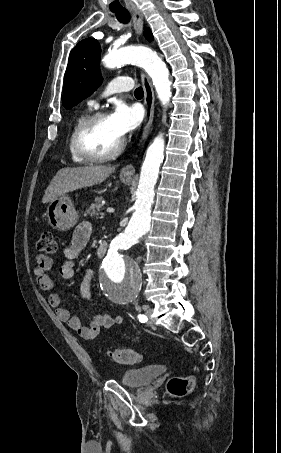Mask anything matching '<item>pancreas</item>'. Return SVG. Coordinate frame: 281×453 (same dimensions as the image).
I'll list each match as a JSON object with an SVG mask.
<instances>
[{"label": "pancreas", "mask_w": 281, "mask_h": 453, "mask_svg": "<svg viewBox=\"0 0 281 453\" xmlns=\"http://www.w3.org/2000/svg\"><path fill=\"white\" fill-rule=\"evenodd\" d=\"M102 200L103 196H97V198H95V202L87 208V214H89V216H94V218H103L104 212Z\"/></svg>", "instance_id": "1"}]
</instances>
